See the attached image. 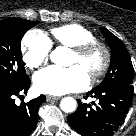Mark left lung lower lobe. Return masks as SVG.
<instances>
[{"mask_svg":"<svg viewBox=\"0 0 136 136\" xmlns=\"http://www.w3.org/2000/svg\"><path fill=\"white\" fill-rule=\"evenodd\" d=\"M134 87L132 84L109 85L87 93L99 99V104L79 101L75 113L67 117L69 124L82 136H112L130 107Z\"/></svg>","mask_w":136,"mask_h":136,"instance_id":"obj_1","label":"left lung lower lobe"}]
</instances>
